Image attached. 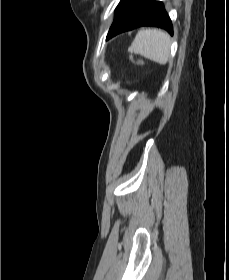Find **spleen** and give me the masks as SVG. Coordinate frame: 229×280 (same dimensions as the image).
Wrapping results in <instances>:
<instances>
[{
    "mask_svg": "<svg viewBox=\"0 0 229 280\" xmlns=\"http://www.w3.org/2000/svg\"><path fill=\"white\" fill-rule=\"evenodd\" d=\"M170 46V36L167 33L157 29H146L139 31L128 51L160 64H166Z\"/></svg>",
    "mask_w": 229,
    "mask_h": 280,
    "instance_id": "3e777b00",
    "label": "spleen"
}]
</instances>
